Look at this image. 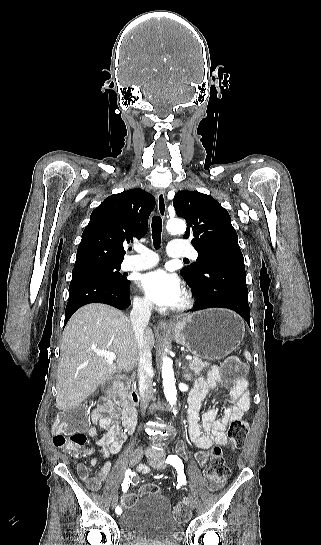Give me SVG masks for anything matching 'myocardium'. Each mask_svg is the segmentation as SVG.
<instances>
[{
	"label": "myocardium",
	"mask_w": 321,
	"mask_h": 545,
	"mask_svg": "<svg viewBox=\"0 0 321 545\" xmlns=\"http://www.w3.org/2000/svg\"><path fill=\"white\" fill-rule=\"evenodd\" d=\"M193 307H194V300H193L192 294L189 293L188 291H184L182 300L180 304L178 305L177 310L179 312H186L191 310Z\"/></svg>",
	"instance_id": "1"
}]
</instances>
